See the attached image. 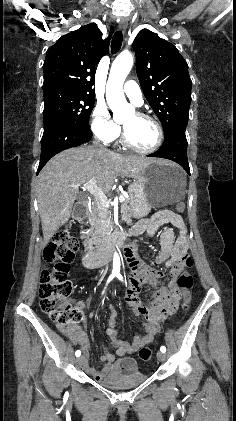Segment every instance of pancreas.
Wrapping results in <instances>:
<instances>
[{
    "instance_id": "cf45deb5",
    "label": "pancreas",
    "mask_w": 236,
    "mask_h": 421,
    "mask_svg": "<svg viewBox=\"0 0 236 421\" xmlns=\"http://www.w3.org/2000/svg\"><path fill=\"white\" fill-rule=\"evenodd\" d=\"M130 198H125L121 202V219L131 225L132 219H130V206L128 204ZM91 211L87 213L88 225L90 229H86L82 237L88 243L89 253H96L101 249L102 243L108 239V233L112 229L111 211L106 206H101L96 202H93L90 206Z\"/></svg>"
}]
</instances>
